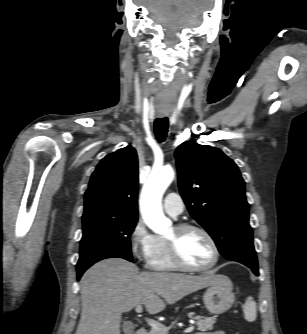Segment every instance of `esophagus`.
I'll return each mask as SVG.
<instances>
[{
  "label": "esophagus",
  "mask_w": 307,
  "mask_h": 334,
  "mask_svg": "<svg viewBox=\"0 0 307 334\" xmlns=\"http://www.w3.org/2000/svg\"><path fill=\"white\" fill-rule=\"evenodd\" d=\"M160 117H164L165 115H159Z\"/></svg>",
  "instance_id": "obj_1"
}]
</instances>
